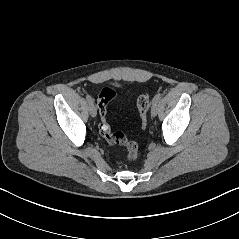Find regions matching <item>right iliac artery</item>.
<instances>
[{"mask_svg":"<svg viewBox=\"0 0 239 239\" xmlns=\"http://www.w3.org/2000/svg\"><path fill=\"white\" fill-rule=\"evenodd\" d=\"M86 100L88 101L89 104L93 103V99L90 95H86Z\"/></svg>","mask_w":239,"mask_h":239,"instance_id":"82829eb1","label":"right iliac artery"}]
</instances>
